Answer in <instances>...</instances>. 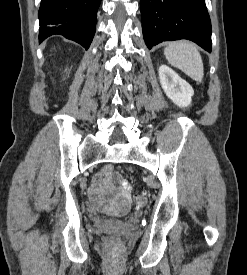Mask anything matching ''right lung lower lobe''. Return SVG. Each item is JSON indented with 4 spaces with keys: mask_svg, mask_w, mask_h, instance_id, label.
I'll return each instance as SVG.
<instances>
[{
    "mask_svg": "<svg viewBox=\"0 0 247 275\" xmlns=\"http://www.w3.org/2000/svg\"><path fill=\"white\" fill-rule=\"evenodd\" d=\"M101 0H42L39 8V42L62 35L88 49L95 34Z\"/></svg>",
    "mask_w": 247,
    "mask_h": 275,
    "instance_id": "right-lung-lower-lobe-1",
    "label": "right lung lower lobe"
}]
</instances>
